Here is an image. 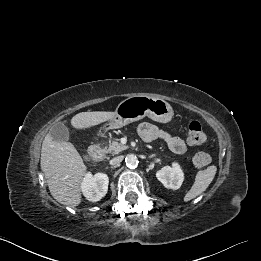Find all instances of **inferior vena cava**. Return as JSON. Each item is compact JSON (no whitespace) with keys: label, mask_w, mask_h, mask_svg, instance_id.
<instances>
[{"label":"inferior vena cava","mask_w":261,"mask_h":261,"mask_svg":"<svg viewBox=\"0 0 261 261\" xmlns=\"http://www.w3.org/2000/svg\"><path fill=\"white\" fill-rule=\"evenodd\" d=\"M122 160H123L122 156H117V157L110 160V164L113 165V166H117L122 162Z\"/></svg>","instance_id":"inferior-vena-cava-1"}]
</instances>
